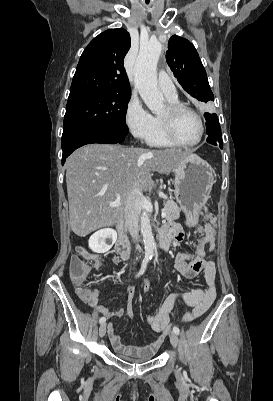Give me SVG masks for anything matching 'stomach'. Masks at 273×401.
<instances>
[{
	"label": "stomach",
	"instance_id": "0dacf381",
	"mask_svg": "<svg viewBox=\"0 0 273 401\" xmlns=\"http://www.w3.org/2000/svg\"><path fill=\"white\" fill-rule=\"evenodd\" d=\"M174 194L185 213L187 227L199 223L201 209L210 198L214 184L213 168L203 158H184L174 166Z\"/></svg>",
	"mask_w": 273,
	"mask_h": 401
}]
</instances>
